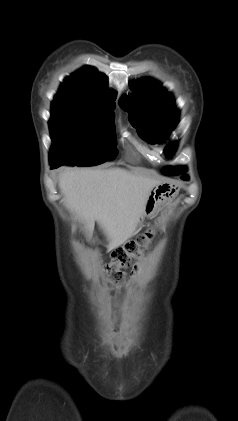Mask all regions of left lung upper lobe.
I'll return each mask as SVG.
<instances>
[{"label": "left lung upper lobe", "instance_id": "5c2ea615", "mask_svg": "<svg viewBox=\"0 0 238 421\" xmlns=\"http://www.w3.org/2000/svg\"><path fill=\"white\" fill-rule=\"evenodd\" d=\"M133 88V95L119 101L121 108L130 113L129 121L144 140L150 142L166 137L178 122L172 95L152 79L138 81ZM174 148V143L169 145L168 153L171 154ZM166 171L180 175L186 172V168L169 167Z\"/></svg>", "mask_w": 238, "mask_h": 421}]
</instances>
